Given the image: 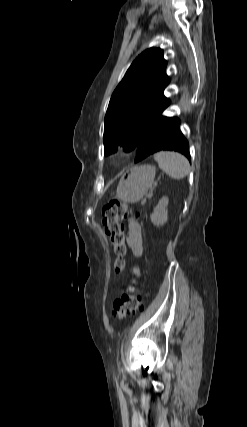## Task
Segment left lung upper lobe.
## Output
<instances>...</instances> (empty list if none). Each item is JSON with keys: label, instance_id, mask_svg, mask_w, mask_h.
<instances>
[{"label": "left lung upper lobe", "instance_id": "5c2ea615", "mask_svg": "<svg viewBox=\"0 0 247 427\" xmlns=\"http://www.w3.org/2000/svg\"><path fill=\"white\" fill-rule=\"evenodd\" d=\"M163 50L150 48L139 55L112 94L104 125V153L118 145L138 147L149 126L169 105L163 91L169 84Z\"/></svg>", "mask_w": 247, "mask_h": 427}]
</instances>
